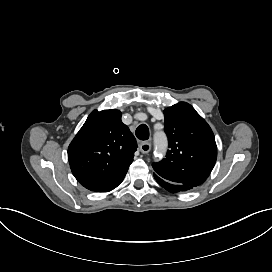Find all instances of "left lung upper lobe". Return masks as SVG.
<instances>
[{"label": "left lung upper lobe", "mask_w": 272, "mask_h": 272, "mask_svg": "<svg viewBox=\"0 0 272 272\" xmlns=\"http://www.w3.org/2000/svg\"><path fill=\"white\" fill-rule=\"evenodd\" d=\"M169 150L166 158L153 163L155 173L176 184L196 187L211 173L217 146L206 121L186 102L164 110Z\"/></svg>", "instance_id": "5c2ea615"}]
</instances>
